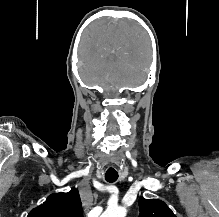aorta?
Masks as SVG:
<instances>
[{"mask_svg": "<svg viewBox=\"0 0 219 217\" xmlns=\"http://www.w3.org/2000/svg\"><path fill=\"white\" fill-rule=\"evenodd\" d=\"M127 210L123 207L107 208L101 217H126Z\"/></svg>", "mask_w": 219, "mask_h": 217, "instance_id": "762f6f07", "label": "aorta"}]
</instances>
